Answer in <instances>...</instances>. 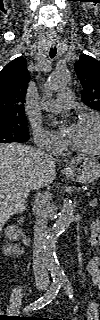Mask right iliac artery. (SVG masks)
I'll use <instances>...</instances> for the list:
<instances>
[{"label":"right iliac artery","mask_w":100,"mask_h":320,"mask_svg":"<svg viewBox=\"0 0 100 320\" xmlns=\"http://www.w3.org/2000/svg\"><path fill=\"white\" fill-rule=\"evenodd\" d=\"M61 286L62 284L60 280H54L47 292L37 301L31 303L29 306H26L24 308V311L28 312L31 310H38L44 307L45 305L49 304L52 301V299L55 298Z\"/></svg>","instance_id":"82829eb1"}]
</instances>
